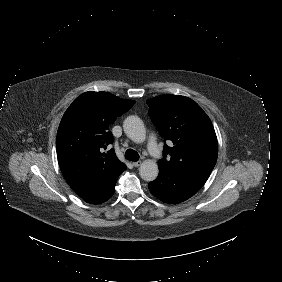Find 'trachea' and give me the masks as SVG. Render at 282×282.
Here are the masks:
<instances>
[{
  "label": "trachea",
  "instance_id": "1",
  "mask_svg": "<svg viewBox=\"0 0 282 282\" xmlns=\"http://www.w3.org/2000/svg\"><path fill=\"white\" fill-rule=\"evenodd\" d=\"M125 158L129 161L136 162L139 160V154L137 151L129 148L125 152Z\"/></svg>",
  "mask_w": 282,
  "mask_h": 282
}]
</instances>
